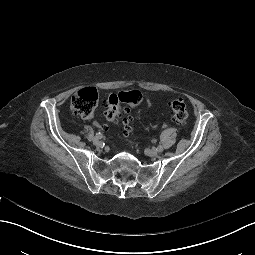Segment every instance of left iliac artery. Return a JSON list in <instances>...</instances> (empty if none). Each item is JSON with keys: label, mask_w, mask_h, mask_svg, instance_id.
<instances>
[{"label": "left iliac artery", "mask_w": 255, "mask_h": 255, "mask_svg": "<svg viewBox=\"0 0 255 255\" xmlns=\"http://www.w3.org/2000/svg\"><path fill=\"white\" fill-rule=\"evenodd\" d=\"M156 151L157 152H162L163 151V147L161 145H159L157 148H156Z\"/></svg>", "instance_id": "44dca946"}]
</instances>
